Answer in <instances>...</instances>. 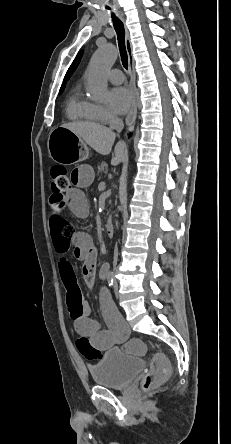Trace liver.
<instances>
[{
  "label": "liver",
  "instance_id": "liver-1",
  "mask_svg": "<svg viewBox=\"0 0 231 444\" xmlns=\"http://www.w3.org/2000/svg\"><path fill=\"white\" fill-rule=\"evenodd\" d=\"M62 127L69 129L96 152L102 155H108L111 152L116 138V134L110 128L97 123L73 122L63 124ZM126 158V144L123 141H120L115 146L114 157L111 160V164L118 165Z\"/></svg>",
  "mask_w": 231,
  "mask_h": 444
}]
</instances>
